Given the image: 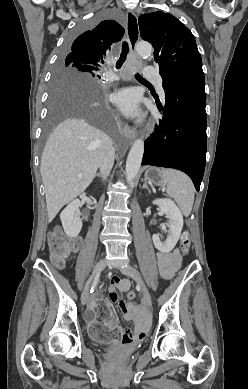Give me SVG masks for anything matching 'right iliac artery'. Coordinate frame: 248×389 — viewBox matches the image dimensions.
<instances>
[{
    "instance_id": "right-iliac-artery-1",
    "label": "right iliac artery",
    "mask_w": 248,
    "mask_h": 389,
    "mask_svg": "<svg viewBox=\"0 0 248 389\" xmlns=\"http://www.w3.org/2000/svg\"><path fill=\"white\" fill-rule=\"evenodd\" d=\"M90 281H91V278L88 280V282H87V284H86V286L90 283Z\"/></svg>"
}]
</instances>
